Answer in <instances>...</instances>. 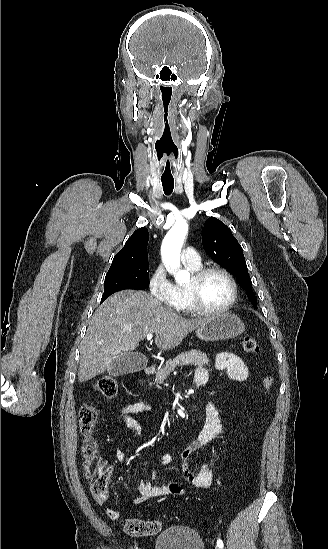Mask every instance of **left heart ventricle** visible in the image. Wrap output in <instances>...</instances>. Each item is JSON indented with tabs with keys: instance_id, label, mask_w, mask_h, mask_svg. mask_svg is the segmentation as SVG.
<instances>
[{
	"instance_id": "1",
	"label": "left heart ventricle",
	"mask_w": 328,
	"mask_h": 549,
	"mask_svg": "<svg viewBox=\"0 0 328 549\" xmlns=\"http://www.w3.org/2000/svg\"><path fill=\"white\" fill-rule=\"evenodd\" d=\"M191 277L189 282L190 284ZM232 293L231 284L224 274L219 271L209 272L197 285V294L203 302L201 307L217 309L224 306Z\"/></svg>"
}]
</instances>
